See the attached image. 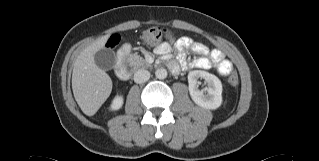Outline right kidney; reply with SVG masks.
<instances>
[{
    "instance_id": "obj_1",
    "label": "right kidney",
    "mask_w": 319,
    "mask_h": 161,
    "mask_svg": "<svg viewBox=\"0 0 319 161\" xmlns=\"http://www.w3.org/2000/svg\"><path fill=\"white\" fill-rule=\"evenodd\" d=\"M123 101H124V99H123V96H116L113 100H112V103H111V110L112 111H117V110H119L121 107H122V105H123Z\"/></svg>"
}]
</instances>
